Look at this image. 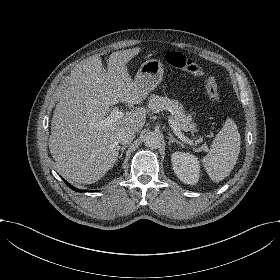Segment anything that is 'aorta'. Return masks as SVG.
<instances>
[{
    "label": "aorta",
    "instance_id": "obj_1",
    "mask_svg": "<svg viewBox=\"0 0 280 280\" xmlns=\"http://www.w3.org/2000/svg\"><path fill=\"white\" fill-rule=\"evenodd\" d=\"M144 143L149 148H158L161 145V138L157 133L148 132L144 134Z\"/></svg>",
    "mask_w": 280,
    "mask_h": 280
}]
</instances>
